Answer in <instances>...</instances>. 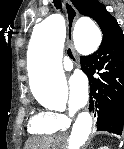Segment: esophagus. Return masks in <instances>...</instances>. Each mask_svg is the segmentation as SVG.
I'll list each match as a JSON object with an SVG mask.
<instances>
[{"instance_id":"1","label":"esophagus","mask_w":124,"mask_h":149,"mask_svg":"<svg viewBox=\"0 0 124 149\" xmlns=\"http://www.w3.org/2000/svg\"><path fill=\"white\" fill-rule=\"evenodd\" d=\"M64 8L67 17V45L69 47H72L73 27L79 16V13L69 0H64Z\"/></svg>"}]
</instances>
